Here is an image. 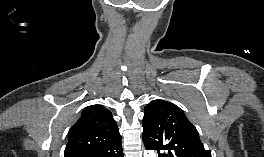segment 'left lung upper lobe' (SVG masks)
Instances as JSON below:
<instances>
[{
    "label": "left lung upper lobe",
    "mask_w": 264,
    "mask_h": 157,
    "mask_svg": "<svg viewBox=\"0 0 264 157\" xmlns=\"http://www.w3.org/2000/svg\"><path fill=\"white\" fill-rule=\"evenodd\" d=\"M144 111L142 138L146 149L156 150L158 157H211L195 126L178 106L157 99Z\"/></svg>",
    "instance_id": "left-lung-upper-lobe-1"
}]
</instances>
